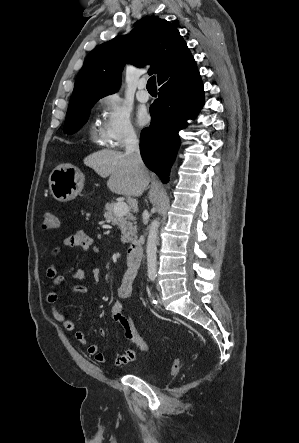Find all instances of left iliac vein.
<instances>
[{
  "mask_svg": "<svg viewBox=\"0 0 299 443\" xmlns=\"http://www.w3.org/2000/svg\"><path fill=\"white\" fill-rule=\"evenodd\" d=\"M157 290H158L159 292H161V287H160L159 284H157Z\"/></svg>",
  "mask_w": 299,
  "mask_h": 443,
  "instance_id": "4c4485c4",
  "label": "left iliac vein"
}]
</instances>
